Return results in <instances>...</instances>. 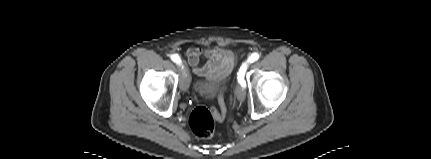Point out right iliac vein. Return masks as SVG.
Here are the masks:
<instances>
[{
	"label": "right iliac vein",
	"instance_id": "right-iliac-vein-1",
	"mask_svg": "<svg viewBox=\"0 0 431 159\" xmlns=\"http://www.w3.org/2000/svg\"><path fill=\"white\" fill-rule=\"evenodd\" d=\"M182 68H183V66H182ZM189 84H190V76H189V73H188L186 67H184V78L181 81L180 89L183 92H186L189 88Z\"/></svg>",
	"mask_w": 431,
	"mask_h": 159
}]
</instances>
